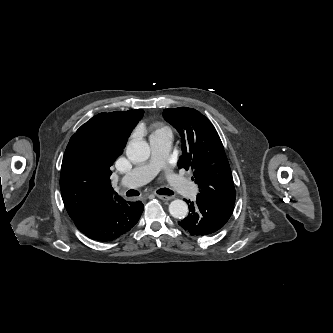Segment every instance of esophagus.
Returning <instances> with one entry per match:
<instances>
[{
	"label": "esophagus",
	"mask_w": 333,
	"mask_h": 333,
	"mask_svg": "<svg viewBox=\"0 0 333 333\" xmlns=\"http://www.w3.org/2000/svg\"><path fill=\"white\" fill-rule=\"evenodd\" d=\"M156 196H157L159 199L163 200V201H169V200L172 199L171 196H166V195H159V194H157Z\"/></svg>",
	"instance_id": "1"
}]
</instances>
